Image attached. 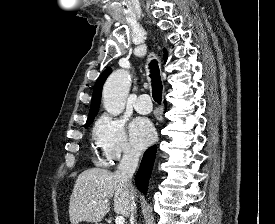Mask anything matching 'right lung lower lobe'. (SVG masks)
I'll use <instances>...</instances> for the list:
<instances>
[{"label": "right lung lower lobe", "mask_w": 275, "mask_h": 224, "mask_svg": "<svg viewBox=\"0 0 275 224\" xmlns=\"http://www.w3.org/2000/svg\"><path fill=\"white\" fill-rule=\"evenodd\" d=\"M166 105V102H165ZM166 108V107H165ZM156 145L148 148L141 161L140 168L136 174V186L144 194L147 193L148 181L153 168L156 155Z\"/></svg>", "instance_id": "right-lung-lower-lobe-1"}]
</instances>
